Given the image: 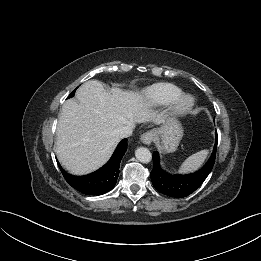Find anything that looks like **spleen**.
<instances>
[{"mask_svg":"<svg viewBox=\"0 0 261 261\" xmlns=\"http://www.w3.org/2000/svg\"><path fill=\"white\" fill-rule=\"evenodd\" d=\"M208 155V150H201L189 156L181 165L180 173H189L199 169Z\"/></svg>","mask_w":261,"mask_h":261,"instance_id":"obj_1","label":"spleen"}]
</instances>
